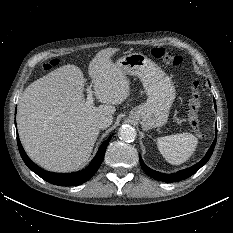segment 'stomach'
Returning <instances> with one entry per match:
<instances>
[{"label":"stomach","mask_w":233,"mask_h":233,"mask_svg":"<svg viewBox=\"0 0 233 233\" xmlns=\"http://www.w3.org/2000/svg\"><path fill=\"white\" fill-rule=\"evenodd\" d=\"M116 64L125 74L138 77L147 95V101L133 108L129 118L139 122L146 131L165 125L176 96L171 78L142 53L124 55Z\"/></svg>","instance_id":"0dacf381"}]
</instances>
